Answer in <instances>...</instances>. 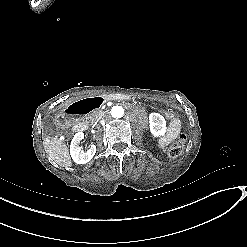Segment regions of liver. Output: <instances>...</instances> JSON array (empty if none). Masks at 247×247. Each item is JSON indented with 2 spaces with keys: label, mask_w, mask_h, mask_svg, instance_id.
<instances>
[{
  "label": "liver",
  "mask_w": 247,
  "mask_h": 247,
  "mask_svg": "<svg viewBox=\"0 0 247 247\" xmlns=\"http://www.w3.org/2000/svg\"><path fill=\"white\" fill-rule=\"evenodd\" d=\"M43 146L52 165L55 167H63L65 169L72 166L69 149L61 140L55 137H45L43 139Z\"/></svg>",
  "instance_id": "6515ba94"
}]
</instances>
